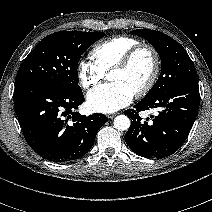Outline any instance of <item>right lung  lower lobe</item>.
I'll return each instance as SVG.
<instances>
[{
	"mask_svg": "<svg viewBox=\"0 0 212 212\" xmlns=\"http://www.w3.org/2000/svg\"><path fill=\"white\" fill-rule=\"evenodd\" d=\"M83 102L82 92L71 93L47 82L21 84L14 90V109L25 140L38 155L52 162L84 156L106 123L104 114L75 112Z\"/></svg>",
	"mask_w": 212,
	"mask_h": 212,
	"instance_id": "right-lung-lower-lobe-1",
	"label": "right lung lower lobe"
}]
</instances>
